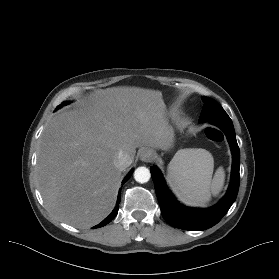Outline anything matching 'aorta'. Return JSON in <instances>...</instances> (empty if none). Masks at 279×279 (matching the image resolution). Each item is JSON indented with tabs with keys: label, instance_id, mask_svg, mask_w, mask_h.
<instances>
[{
	"label": "aorta",
	"instance_id": "aorta-1",
	"mask_svg": "<svg viewBox=\"0 0 279 279\" xmlns=\"http://www.w3.org/2000/svg\"><path fill=\"white\" fill-rule=\"evenodd\" d=\"M151 177L150 170L146 167H138L134 172V179L139 183H146Z\"/></svg>",
	"mask_w": 279,
	"mask_h": 279
}]
</instances>
